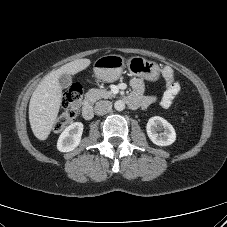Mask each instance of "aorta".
<instances>
[{"instance_id": "obj_1", "label": "aorta", "mask_w": 227, "mask_h": 227, "mask_svg": "<svg viewBox=\"0 0 227 227\" xmlns=\"http://www.w3.org/2000/svg\"><path fill=\"white\" fill-rule=\"evenodd\" d=\"M114 108H115V110H117V111H122V110H124V109H125V103H124V101H122V100H117V101H115V103H114Z\"/></svg>"}]
</instances>
